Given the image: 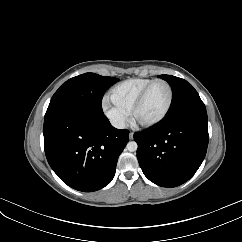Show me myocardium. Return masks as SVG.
Returning a JSON list of instances; mask_svg holds the SVG:
<instances>
[{"label": "myocardium", "mask_w": 242, "mask_h": 242, "mask_svg": "<svg viewBox=\"0 0 242 242\" xmlns=\"http://www.w3.org/2000/svg\"><path fill=\"white\" fill-rule=\"evenodd\" d=\"M157 83H163L168 88L169 98H168L167 105H166L164 111L162 112V114L158 118H156V119H154L152 121H149V122H141V121H138L136 119L137 111L139 110V108L141 107V105L143 104V102L145 101V98L147 97L149 91ZM173 97H174L173 89H172V86L170 85V83L168 81H166L164 79H155V80H153L150 84H148L143 89V91L140 93V95L138 96V98L135 100V102H134V104H133V106L131 108L130 113H131V118H132L133 123L136 124L139 127H142V128H150V127H153V126L158 125L168 115V113H169V111H170V109L172 107V104H173Z\"/></svg>", "instance_id": "obj_1"}]
</instances>
